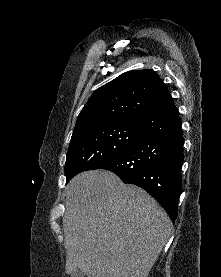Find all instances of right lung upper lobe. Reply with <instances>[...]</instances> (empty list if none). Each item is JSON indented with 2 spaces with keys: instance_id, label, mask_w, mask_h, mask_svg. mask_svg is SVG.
<instances>
[{
  "instance_id": "right-lung-upper-lobe-1",
  "label": "right lung upper lobe",
  "mask_w": 221,
  "mask_h": 277,
  "mask_svg": "<svg viewBox=\"0 0 221 277\" xmlns=\"http://www.w3.org/2000/svg\"><path fill=\"white\" fill-rule=\"evenodd\" d=\"M171 99L153 70L125 72L92 94L78 115L73 135L100 125L138 121Z\"/></svg>"
}]
</instances>
